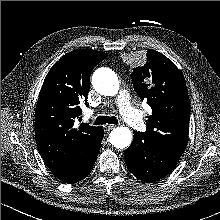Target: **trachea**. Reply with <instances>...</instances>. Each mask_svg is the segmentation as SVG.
<instances>
[{"label":"trachea","instance_id":"1","mask_svg":"<svg viewBox=\"0 0 220 220\" xmlns=\"http://www.w3.org/2000/svg\"><path fill=\"white\" fill-rule=\"evenodd\" d=\"M118 124V120L115 116H99L95 120V125H103V124Z\"/></svg>","mask_w":220,"mask_h":220}]
</instances>
